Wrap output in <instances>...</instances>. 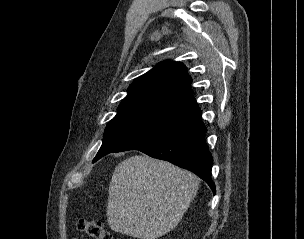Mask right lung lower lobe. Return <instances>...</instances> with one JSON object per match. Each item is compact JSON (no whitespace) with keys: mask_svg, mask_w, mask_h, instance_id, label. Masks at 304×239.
Listing matches in <instances>:
<instances>
[{"mask_svg":"<svg viewBox=\"0 0 304 239\" xmlns=\"http://www.w3.org/2000/svg\"><path fill=\"white\" fill-rule=\"evenodd\" d=\"M205 132L201 110L198 109L169 120L112 152L139 150L151 157L169 161L194 172L215 194V184L211 179L213 158L204 141Z\"/></svg>","mask_w":304,"mask_h":239,"instance_id":"1","label":"right lung lower lobe"}]
</instances>
